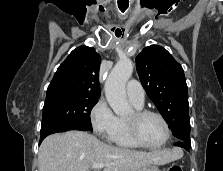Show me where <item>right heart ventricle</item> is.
<instances>
[{
  "instance_id": "obj_1",
  "label": "right heart ventricle",
  "mask_w": 223,
  "mask_h": 171,
  "mask_svg": "<svg viewBox=\"0 0 223 171\" xmlns=\"http://www.w3.org/2000/svg\"><path fill=\"white\" fill-rule=\"evenodd\" d=\"M133 105L135 106V108H142L143 106V105H137L134 103ZM109 141L119 148L136 149L139 147L129 137L126 126H125V120L122 118H118L117 129Z\"/></svg>"
}]
</instances>
